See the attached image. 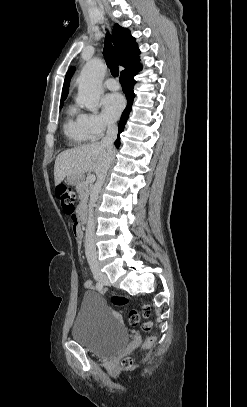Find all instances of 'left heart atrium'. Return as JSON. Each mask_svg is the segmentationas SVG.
Listing matches in <instances>:
<instances>
[{
	"instance_id": "39dd6f15",
	"label": "left heart atrium",
	"mask_w": 247,
	"mask_h": 407,
	"mask_svg": "<svg viewBox=\"0 0 247 407\" xmlns=\"http://www.w3.org/2000/svg\"><path fill=\"white\" fill-rule=\"evenodd\" d=\"M101 104L105 116L109 120L114 121L119 117L125 102L120 94L110 93L103 97Z\"/></svg>"
}]
</instances>
